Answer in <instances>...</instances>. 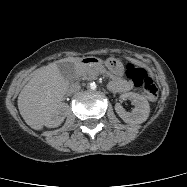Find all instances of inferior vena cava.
<instances>
[{
  "mask_svg": "<svg viewBox=\"0 0 187 187\" xmlns=\"http://www.w3.org/2000/svg\"><path fill=\"white\" fill-rule=\"evenodd\" d=\"M81 89V86L79 83L75 82V83H72L69 87V92L70 93H76L78 92L79 90Z\"/></svg>",
  "mask_w": 187,
  "mask_h": 187,
  "instance_id": "obj_1",
  "label": "inferior vena cava"
}]
</instances>
